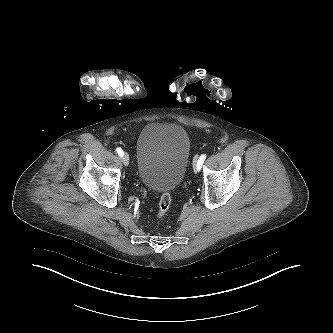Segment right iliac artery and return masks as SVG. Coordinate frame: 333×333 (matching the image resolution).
<instances>
[{
	"label": "right iliac artery",
	"instance_id": "right-iliac-artery-1",
	"mask_svg": "<svg viewBox=\"0 0 333 333\" xmlns=\"http://www.w3.org/2000/svg\"><path fill=\"white\" fill-rule=\"evenodd\" d=\"M116 151H117V153H118V155L120 156V157H123V155H124V152H123V150L121 149V148H117L116 149Z\"/></svg>",
	"mask_w": 333,
	"mask_h": 333
}]
</instances>
